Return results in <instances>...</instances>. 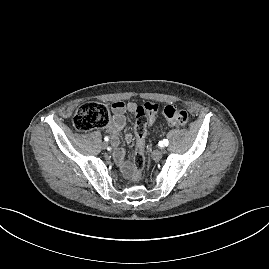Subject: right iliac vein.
Returning a JSON list of instances; mask_svg holds the SVG:
<instances>
[{
    "instance_id": "63e3f726",
    "label": "right iliac vein",
    "mask_w": 269,
    "mask_h": 269,
    "mask_svg": "<svg viewBox=\"0 0 269 269\" xmlns=\"http://www.w3.org/2000/svg\"><path fill=\"white\" fill-rule=\"evenodd\" d=\"M102 148L103 149H107L108 148V143L107 142H103L102 143Z\"/></svg>"
}]
</instances>
